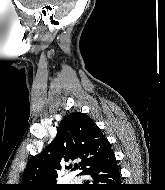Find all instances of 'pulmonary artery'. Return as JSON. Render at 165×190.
Returning <instances> with one entry per match:
<instances>
[{
	"instance_id": "obj_1",
	"label": "pulmonary artery",
	"mask_w": 165,
	"mask_h": 190,
	"mask_svg": "<svg viewBox=\"0 0 165 190\" xmlns=\"http://www.w3.org/2000/svg\"><path fill=\"white\" fill-rule=\"evenodd\" d=\"M76 181H77V179H73V180H72V182H76Z\"/></svg>"
}]
</instances>
